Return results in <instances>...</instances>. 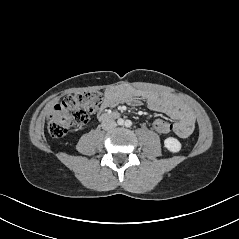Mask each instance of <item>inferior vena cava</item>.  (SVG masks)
Returning <instances> with one entry per match:
<instances>
[{"mask_svg":"<svg viewBox=\"0 0 239 239\" xmlns=\"http://www.w3.org/2000/svg\"><path fill=\"white\" fill-rule=\"evenodd\" d=\"M104 130H112L116 127V122L113 119H104L101 123Z\"/></svg>","mask_w":239,"mask_h":239,"instance_id":"602c4592","label":"inferior vena cava"}]
</instances>
